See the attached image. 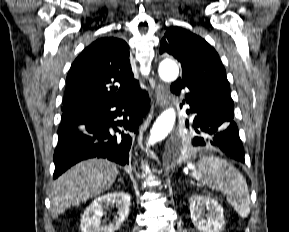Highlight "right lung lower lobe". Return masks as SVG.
I'll return each mask as SVG.
<instances>
[{
    "instance_id": "obj_1",
    "label": "right lung lower lobe",
    "mask_w": 289,
    "mask_h": 232,
    "mask_svg": "<svg viewBox=\"0 0 289 232\" xmlns=\"http://www.w3.org/2000/svg\"><path fill=\"white\" fill-rule=\"evenodd\" d=\"M147 108V94L137 87L116 101L63 114L54 152L53 178L77 162L93 157L107 158L120 165L128 164L132 135L138 131ZM117 116L124 119L114 121ZM117 126L124 127L126 132Z\"/></svg>"
}]
</instances>
